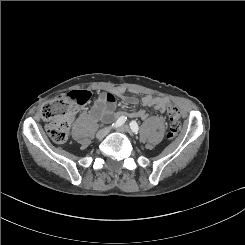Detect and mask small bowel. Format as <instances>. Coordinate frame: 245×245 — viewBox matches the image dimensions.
I'll use <instances>...</instances> for the list:
<instances>
[{"instance_id":"1","label":"small bowel","mask_w":245,"mask_h":245,"mask_svg":"<svg viewBox=\"0 0 245 245\" xmlns=\"http://www.w3.org/2000/svg\"><path fill=\"white\" fill-rule=\"evenodd\" d=\"M123 101L127 104L136 105L139 100L135 97L125 96ZM140 103L144 107H152L155 110L163 111L168 104V100L163 97L145 95ZM115 109V97L111 93H101L90 110L92 118L99 120L108 117ZM132 117L146 119L147 113L143 109H137L130 113Z\"/></svg>"}]
</instances>
